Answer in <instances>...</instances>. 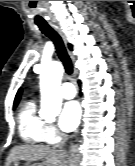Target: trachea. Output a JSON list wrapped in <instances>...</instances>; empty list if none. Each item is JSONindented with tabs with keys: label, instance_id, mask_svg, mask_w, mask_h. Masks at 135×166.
I'll return each instance as SVG.
<instances>
[{
	"label": "trachea",
	"instance_id": "1",
	"mask_svg": "<svg viewBox=\"0 0 135 166\" xmlns=\"http://www.w3.org/2000/svg\"><path fill=\"white\" fill-rule=\"evenodd\" d=\"M37 26L39 27V29L43 34H45L54 42L56 47V52L64 65L66 73L72 75L73 65L67 53V50L64 46L61 36L48 23H37Z\"/></svg>",
	"mask_w": 135,
	"mask_h": 166
}]
</instances>
